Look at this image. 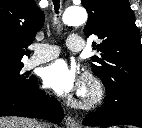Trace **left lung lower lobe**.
<instances>
[{"mask_svg": "<svg viewBox=\"0 0 142 128\" xmlns=\"http://www.w3.org/2000/svg\"><path fill=\"white\" fill-rule=\"evenodd\" d=\"M82 124L87 126L133 125L142 127V95H132L110 102L106 98L96 112L89 113Z\"/></svg>", "mask_w": 142, "mask_h": 128, "instance_id": "0a47b994", "label": "left lung lower lobe"}]
</instances>
